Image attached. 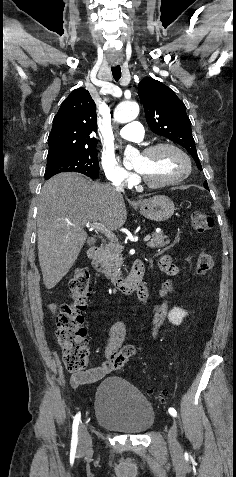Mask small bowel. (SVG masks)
Returning <instances> with one entry per match:
<instances>
[{
  "mask_svg": "<svg viewBox=\"0 0 236 477\" xmlns=\"http://www.w3.org/2000/svg\"><path fill=\"white\" fill-rule=\"evenodd\" d=\"M161 268L166 273H173L174 266L169 256H163L160 259ZM173 288L171 282H166L162 287L164 294L169 293ZM141 299L146 302L148 299V292L146 288H142L140 291ZM50 311L55 316L58 313V305L51 304ZM166 311V305L162 304L156 311L153 319L152 335L156 336L161 329L163 318ZM124 332V324L122 322H116L112 324L107 332V338L104 344L105 361L98 367L88 369L83 372L74 373L72 375V383L75 386H79L87 383H94L109 373L113 369V360L120 354L125 353L127 356H131L134 353L132 346H122V336Z\"/></svg>",
  "mask_w": 236,
  "mask_h": 477,
  "instance_id": "c3829d8e",
  "label": "small bowel"
}]
</instances>
